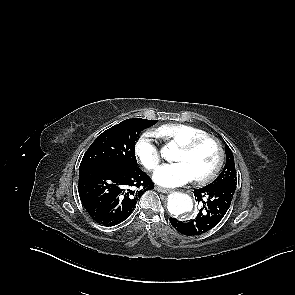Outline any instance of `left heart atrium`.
Wrapping results in <instances>:
<instances>
[{"mask_svg":"<svg viewBox=\"0 0 295 295\" xmlns=\"http://www.w3.org/2000/svg\"><path fill=\"white\" fill-rule=\"evenodd\" d=\"M153 179L159 185L177 187L193 181L195 176L186 163L177 162L159 167Z\"/></svg>","mask_w":295,"mask_h":295,"instance_id":"obj_1","label":"left heart atrium"}]
</instances>
